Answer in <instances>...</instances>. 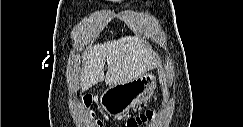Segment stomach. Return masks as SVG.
<instances>
[{"mask_svg": "<svg viewBox=\"0 0 243 127\" xmlns=\"http://www.w3.org/2000/svg\"><path fill=\"white\" fill-rule=\"evenodd\" d=\"M156 88V76L147 71L140 77L109 86L100 96V106L109 116H120L130 108L148 102Z\"/></svg>", "mask_w": 243, "mask_h": 127, "instance_id": "1", "label": "stomach"}]
</instances>
